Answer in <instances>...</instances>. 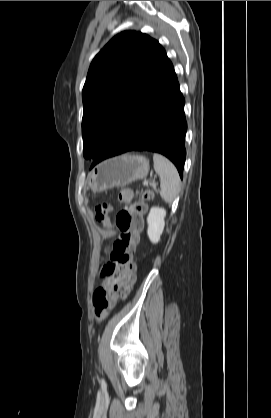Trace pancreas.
Returning a JSON list of instances; mask_svg holds the SVG:
<instances>
[{
  "instance_id": "pancreas-1",
  "label": "pancreas",
  "mask_w": 271,
  "mask_h": 418,
  "mask_svg": "<svg viewBox=\"0 0 271 418\" xmlns=\"http://www.w3.org/2000/svg\"><path fill=\"white\" fill-rule=\"evenodd\" d=\"M152 188H153V190H154V191H157V189H156V186H155V185H152Z\"/></svg>"
}]
</instances>
